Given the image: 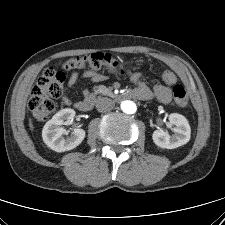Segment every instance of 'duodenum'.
Wrapping results in <instances>:
<instances>
[{"instance_id": "1", "label": "duodenum", "mask_w": 225, "mask_h": 225, "mask_svg": "<svg viewBox=\"0 0 225 225\" xmlns=\"http://www.w3.org/2000/svg\"><path fill=\"white\" fill-rule=\"evenodd\" d=\"M126 95L130 96V93H127ZM94 103H95L94 96L88 95L82 98L81 100H79L78 102H76V108L79 111L88 112L93 108Z\"/></svg>"}]
</instances>
